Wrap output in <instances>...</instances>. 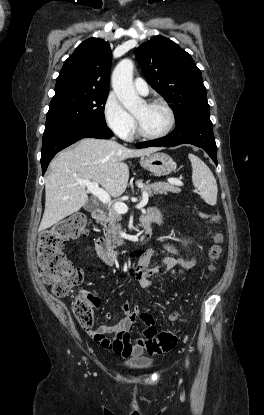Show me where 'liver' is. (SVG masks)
Wrapping results in <instances>:
<instances>
[{"label":"liver","mask_w":264,"mask_h":415,"mask_svg":"<svg viewBox=\"0 0 264 415\" xmlns=\"http://www.w3.org/2000/svg\"><path fill=\"white\" fill-rule=\"evenodd\" d=\"M158 150L129 149L112 140L85 138L60 152L50 163L45 180V210L39 230L50 228L88 202L86 186L79 181L98 183L110 196H121L129 179V167L124 160Z\"/></svg>","instance_id":"6515ba94"}]
</instances>
